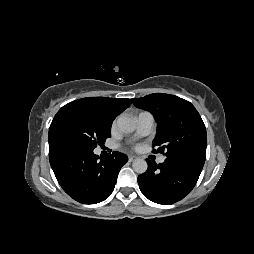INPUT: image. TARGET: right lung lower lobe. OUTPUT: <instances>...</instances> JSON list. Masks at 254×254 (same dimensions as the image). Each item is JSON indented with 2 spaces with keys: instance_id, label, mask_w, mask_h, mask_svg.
<instances>
[{
  "instance_id": "98d812e1",
  "label": "right lung lower lobe",
  "mask_w": 254,
  "mask_h": 254,
  "mask_svg": "<svg viewBox=\"0 0 254 254\" xmlns=\"http://www.w3.org/2000/svg\"><path fill=\"white\" fill-rule=\"evenodd\" d=\"M93 150L69 142H49V160L60 186L84 204L107 199L121 167L128 161L126 155L117 151L99 158Z\"/></svg>"
}]
</instances>
